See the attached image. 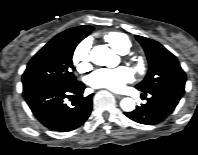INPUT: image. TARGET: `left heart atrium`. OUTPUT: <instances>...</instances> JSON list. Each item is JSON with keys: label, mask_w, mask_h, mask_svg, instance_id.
Instances as JSON below:
<instances>
[{"label": "left heart atrium", "mask_w": 198, "mask_h": 155, "mask_svg": "<svg viewBox=\"0 0 198 155\" xmlns=\"http://www.w3.org/2000/svg\"><path fill=\"white\" fill-rule=\"evenodd\" d=\"M132 79L133 75L131 70L122 66L114 69L97 70L89 76L88 82L94 88L120 91L128 82H131Z\"/></svg>", "instance_id": "1"}]
</instances>
